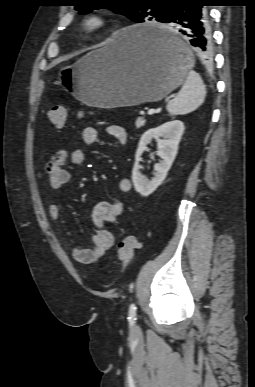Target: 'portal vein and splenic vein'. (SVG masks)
Returning a JSON list of instances; mask_svg holds the SVG:
<instances>
[{"mask_svg":"<svg viewBox=\"0 0 255 387\" xmlns=\"http://www.w3.org/2000/svg\"><path fill=\"white\" fill-rule=\"evenodd\" d=\"M154 113H155V109L151 108V109L148 110V114H149V115H152V114H154ZM140 120H141V119H138V121H137L138 124H140Z\"/></svg>","mask_w":255,"mask_h":387,"instance_id":"portal-vein-and-splenic-vein-1","label":"portal vein and splenic vein"}]
</instances>
